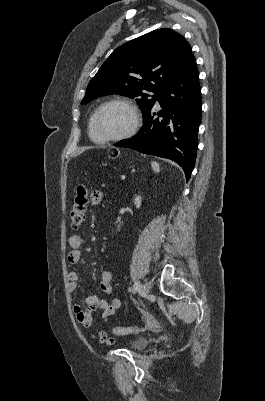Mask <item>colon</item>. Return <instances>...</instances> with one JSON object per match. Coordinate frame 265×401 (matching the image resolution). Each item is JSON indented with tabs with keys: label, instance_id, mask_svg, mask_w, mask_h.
<instances>
[{
	"label": "colon",
	"instance_id": "1",
	"mask_svg": "<svg viewBox=\"0 0 265 401\" xmlns=\"http://www.w3.org/2000/svg\"><path fill=\"white\" fill-rule=\"evenodd\" d=\"M111 154L113 157H117L119 152L117 150H112ZM87 201L88 191L86 187L83 185L78 186L74 197L73 208L70 213V223L74 229L79 228L83 222ZM138 331V326L115 327L112 329V333L118 336L130 335Z\"/></svg>",
	"mask_w": 265,
	"mask_h": 401
}]
</instances>
